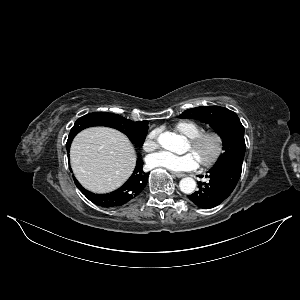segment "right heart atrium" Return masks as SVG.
I'll return each instance as SVG.
<instances>
[{
    "label": "right heart atrium",
    "instance_id": "right-heart-atrium-1",
    "mask_svg": "<svg viewBox=\"0 0 300 300\" xmlns=\"http://www.w3.org/2000/svg\"><path fill=\"white\" fill-rule=\"evenodd\" d=\"M158 133L157 129L151 130L144 138L142 148L145 152L151 153L158 147Z\"/></svg>",
    "mask_w": 300,
    "mask_h": 300
}]
</instances>
